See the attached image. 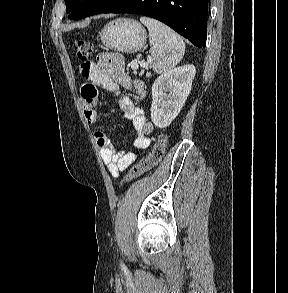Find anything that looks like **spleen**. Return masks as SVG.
Segmentation results:
<instances>
[{"mask_svg":"<svg viewBox=\"0 0 288 293\" xmlns=\"http://www.w3.org/2000/svg\"><path fill=\"white\" fill-rule=\"evenodd\" d=\"M140 21L149 31L153 57V70L163 74L174 68L183 58L185 44L182 37L167 25L149 17H141Z\"/></svg>","mask_w":288,"mask_h":293,"instance_id":"spleen-1","label":"spleen"}]
</instances>
